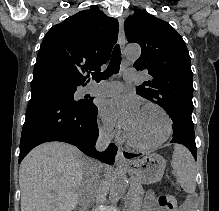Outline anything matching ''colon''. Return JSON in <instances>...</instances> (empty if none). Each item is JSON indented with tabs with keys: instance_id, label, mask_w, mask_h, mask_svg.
<instances>
[{
	"instance_id": "colon-1",
	"label": "colon",
	"mask_w": 219,
	"mask_h": 211,
	"mask_svg": "<svg viewBox=\"0 0 219 211\" xmlns=\"http://www.w3.org/2000/svg\"><path fill=\"white\" fill-rule=\"evenodd\" d=\"M158 203L160 207L166 209L167 211H175L177 206L175 197L169 194L161 195L158 198Z\"/></svg>"
}]
</instances>
